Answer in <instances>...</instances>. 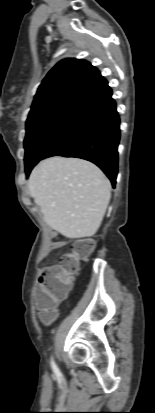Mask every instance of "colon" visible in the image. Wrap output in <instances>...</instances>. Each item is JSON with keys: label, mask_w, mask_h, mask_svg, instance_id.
<instances>
[{"label": "colon", "mask_w": 155, "mask_h": 413, "mask_svg": "<svg viewBox=\"0 0 155 413\" xmlns=\"http://www.w3.org/2000/svg\"><path fill=\"white\" fill-rule=\"evenodd\" d=\"M93 247L91 240L77 241L72 250L61 257L59 264L47 269L40 280L44 287L39 301L41 306L51 308L62 298L79 271L81 262L91 254Z\"/></svg>", "instance_id": "1"}]
</instances>
